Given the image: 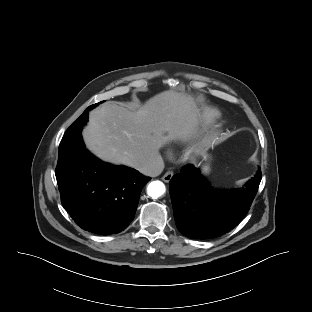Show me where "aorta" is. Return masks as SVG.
<instances>
[{"mask_svg":"<svg viewBox=\"0 0 312 312\" xmlns=\"http://www.w3.org/2000/svg\"><path fill=\"white\" fill-rule=\"evenodd\" d=\"M166 191V187L163 182L156 180L149 183L147 186V194L153 199L161 197Z\"/></svg>","mask_w":312,"mask_h":312,"instance_id":"762f6f07","label":"aorta"}]
</instances>
